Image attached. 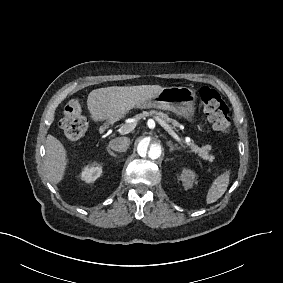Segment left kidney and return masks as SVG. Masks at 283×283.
Returning a JSON list of instances; mask_svg holds the SVG:
<instances>
[{"instance_id": "obj_1", "label": "left kidney", "mask_w": 283, "mask_h": 283, "mask_svg": "<svg viewBox=\"0 0 283 283\" xmlns=\"http://www.w3.org/2000/svg\"><path fill=\"white\" fill-rule=\"evenodd\" d=\"M180 178L184 182V187H186V188L192 187V183H193V180H194V173L192 171H190V170L183 171Z\"/></svg>"}]
</instances>
